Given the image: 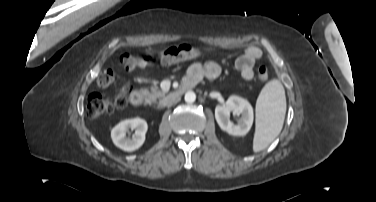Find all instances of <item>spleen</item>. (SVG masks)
I'll return each mask as SVG.
<instances>
[{
	"label": "spleen",
	"instance_id": "1",
	"mask_svg": "<svg viewBox=\"0 0 376 202\" xmlns=\"http://www.w3.org/2000/svg\"><path fill=\"white\" fill-rule=\"evenodd\" d=\"M286 113L284 87L278 80L268 82L256 102V130L253 150L266 148L281 132Z\"/></svg>",
	"mask_w": 376,
	"mask_h": 202
}]
</instances>
